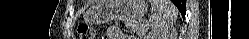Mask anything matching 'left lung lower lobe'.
I'll list each match as a JSON object with an SVG mask.
<instances>
[{
	"instance_id": "left-lung-lower-lobe-1",
	"label": "left lung lower lobe",
	"mask_w": 249,
	"mask_h": 39,
	"mask_svg": "<svg viewBox=\"0 0 249 39\" xmlns=\"http://www.w3.org/2000/svg\"><path fill=\"white\" fill-rule=\"evenodd\" d=\"M173 3L177 6L179 11L181 12L182 17H184L186 13V1L185 0H173Z\"/></svg>"
}]
</instances>
